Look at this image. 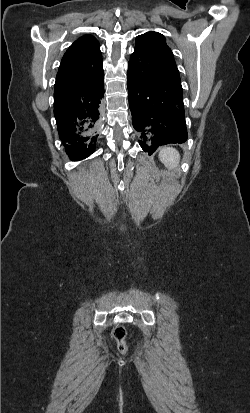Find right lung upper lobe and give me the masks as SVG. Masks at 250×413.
I'll list each match as a JSON object with an SVG mask.
<instances>
[{"instance_id":"right-lung-upper-lobe-1","label":"right lung upper lobe","mask_w":250,"mask_h":413,"mask_svg":"<svg viewBox=\"0 0 250 413\" xmlns=\"http://www.w3.org/2000/svg\"><path fill=\"white\" fill-rule=\"evenodd\" d=\"M96 38L85 35L76 40L64 54L55 88L80 85L93 80L102 68V55Z\"/></svg>"}]
</instances>
